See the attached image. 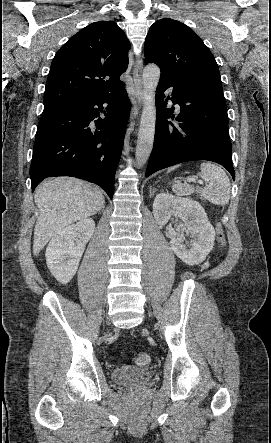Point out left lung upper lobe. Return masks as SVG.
Returning <instances> with one entry per match:
<instances>
[{
    "instance_id": "5c2ea615",
    "label": "left lung upper lobe",
    "mask_w": 271,
    "mask_h": 443,
    "mask_svg": "<svg viewBox=\"0 0 271 443\" xmlns=\"http://www.w3.org/2000/svg\"><path fill=\"white\" fill-rule=\"evenodd\" d=\"M144 55L147 62L157 64L161 70L222 84L210 50L192 29L179 21H156L146 37Z\"/></svg>"
}]
</instances>
